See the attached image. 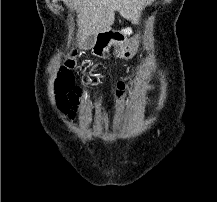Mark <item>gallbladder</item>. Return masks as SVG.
I'll use <instances>...</instances> for the list:
<instances>
[{
	"label": "gallbladder",
	"instance_id": "gallbladder-1",
	"mask_svg": "<svg viewBox=\"0 0 217 202\" xmlns=\"http://www.w3.org/2000/svg\"><path fill=\"white\" fill-rule=\"evenodd\" d=\"M95 34H90V36H87L86 40H83L82 42V48L86 51L90 46H93L95 42Z\"/></svg>",
	"mask_w": 217,
	"mask_h": 202
}]
</instances>
